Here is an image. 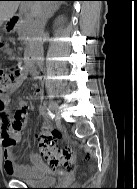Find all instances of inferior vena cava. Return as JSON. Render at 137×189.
Wrapping results in <instances>:
<instances>
[{"mask_svg":"<svg viewBox=\"0 0 137 189\" xmlns=\"http://www.w3.org/2000/svg\"><path fill=\"white\" fill-rule=\"evenodd\" d=\"M55 6L56 5L50 2L49 5L41 9L35 16V20L30 30L33 41L34 54L36 55L37 61H40L39 57H42L43 55V47L40 38L43 35L47 19Z\"/></svg>","mask_w":137,"mask_h":189,"instance_id":"602c4592","label":"inferior vena cava"}]
</instances>
